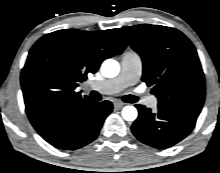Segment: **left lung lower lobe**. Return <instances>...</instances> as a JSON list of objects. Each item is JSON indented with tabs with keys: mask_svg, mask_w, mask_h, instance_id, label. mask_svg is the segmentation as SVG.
Returning a JSON list of instances; mask_svg holds the SVG:
<instances>
[{
	"mask_svg": "<svg viewBox=\"0 0 220 173\" xmlns=\"http://www.w3.org/2000/svg\"><path fill=\"white\" fill-rule=\"evenodd\" d=\"M139 117L132 125V132L141 142L155 147L167 148L182 140L194 127L197 116L166 107H158L152 113L144 105H136Z\"/></svg>",
	"mask_w": 220,
	"mask_h": 173,
	"instance_id": "obj_1",
	"label": "left lung lower lobe"
}]
</instances>
